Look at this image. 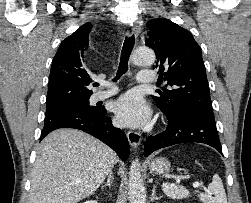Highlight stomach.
Wrapping results in <instances>:
<instances>
[{"mask_svg": "<svg viewBox=\"0 0 251 203\" xmlns=\"http://www.w3.org/2000/svg\"><path fill=\"white\" fill-rule=\"evenodd\" d=\"M170 161L165 157H160L152 160L149 163V168L155 174H164L170 170Z\"/></svg>", "mask_w": 251, "mask_h": 203, "instance_id": "0dacf381", "label": "stomach"}]
</instances>
